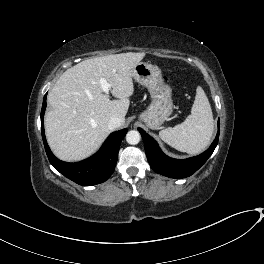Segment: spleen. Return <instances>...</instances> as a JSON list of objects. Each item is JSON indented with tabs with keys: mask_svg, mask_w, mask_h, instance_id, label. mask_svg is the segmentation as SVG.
<instances>
[{
	"mask_svg": "<svg viewBox=\"0 0 264 264\" xmlns=\"http://www.w3.org/2000/svg\"><path fill=\"white\" fill-rule=\"evenodd\" d=\"M214 130V119L209 100L198 86L191 114L186 120L159 132V137L178 151L198 154L204 150L211 140Z\"/></svg>",
	"mask_w": 264,
	"mask_h": 264,
	"instance_id": "3e777b00",
	"label": "spleen"
}]
</instances>
